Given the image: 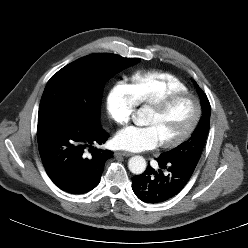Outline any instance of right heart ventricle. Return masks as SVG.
<instances>
[{
  "instance_id": "e07e8e85",
  "label": "right heart ventricle",
  "mask_w": 248,
  "mask_h": 248,
  "mask_svg": "<svg viewBox=\"0 0 248 248\" xmlns=\"http://www.w3.org/2000/svg\"><path fill=\"white\" fill-rule=\"evenodd\" d=\"M137 105H151L173 92H187L186 84L168 72L135 73L127 84Z\"/></svg>"
}]
</instances>
